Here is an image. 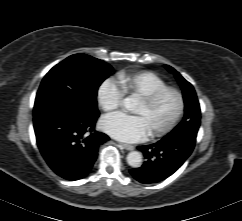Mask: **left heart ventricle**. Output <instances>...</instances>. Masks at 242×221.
Wrapping results in <instances>:
<instances>
[{
	"mask_svg": "<svg viewBox=\"0 0 242 221\" xmlns=\"http://www.w3.org/2000/svg\"><path fill=\"white\" fill-rule=\"evenodd\" d=\"M175 109V97L172 94H167L152 106H147L139 100L134 113L145 119L150 131L167 123L173 116Z\"/></svg>",
	"mask_w": 242,
	"mask_h": 221,
	"instance_id": "left-heart-ventricle-1",
	"label": "left heart ventricle"
}]
</instances>
